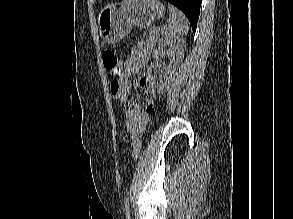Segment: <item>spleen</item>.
I'll use <instances>...</instances> for the list:
<instances>
[{"instance_id": "obj_1", "label": "spleen", "mask_w": 293, "mask_h": 219, "mask_svg": "<svg viewBox=\"0 0 293 219\" xmlns=\"http://www.w3.org/2000/svg\"><path fill=\"white\" fill-rule=\"evenodd\" d=\"M169 19L167 24L161 28V34L164 37L178 39L189 31L188 21L185 15L176 9L173 5L168 4Z\"/></svg>"}]
</instances>
